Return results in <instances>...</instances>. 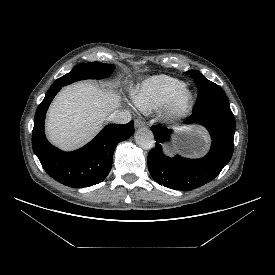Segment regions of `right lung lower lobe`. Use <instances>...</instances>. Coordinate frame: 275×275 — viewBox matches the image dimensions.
<instances>
[{
	"label": "right lung lower lobe",
	"instance_id": "right-lung-lower-lobe-1",
	"mask_svg": "<svg viewBox=\"0 0 275 275\" xmlns=\"http://www.w3.org/2000/svg\"><path fill=\"white\" fill-rule=\"evenodd\" d=\"M62 85L51 86L38 106L32 132V147L45 171L56 181L73 188L102 182L112 167L117 144L134 133V122L107 125L91 142L74 152H63L46 139V111Z\"/></svg>",
	"mask_w": 275,
	"mask_h": 275
}]
</instances>
